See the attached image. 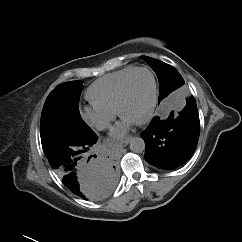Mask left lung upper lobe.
Listing matches in <instances>:
<instances>
[{
  "label": "left lung upper lobe",
  "mask_w": 242,
  "mask_h": 242,
  "mask_svg": "<svg viewBox=\"0 0 242 242\" xmlns=\"http://www.w3.org/2000/svg\"><path fill=\"white\" fill-rule=\"evenodd\" d=\"M156 72L159 84V102H161L165 97H167L173 90L184 84V80L179 72L171 65L166 64L162 61L156 60L151 57L142 56Z\"/></svg>",
  "instance_id": "5c2ea615"
}]
</instances>
